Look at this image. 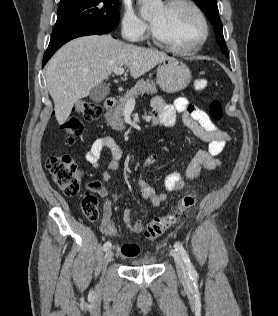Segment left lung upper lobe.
Returning <instances> with one entry per match:
<instances>
[{"label": "left lung upper lobe", "instance_id": "5c2ea615", "mask_svg": "<svg viewBox=\"0 0 278 316\" xmlns=\"http://www.w3.org/2000/svg\"><path fill=\"white\" fill-rule=\"evenodd\" d=\"M198 6L205 12L207 18L214 27L218 43L224 52L229 57L227 46L224 41L222 22L219 18L218 6L216 0H194Z\"/></svg>", "mask_w": 278, "mask_h": 316}]
</instances>
